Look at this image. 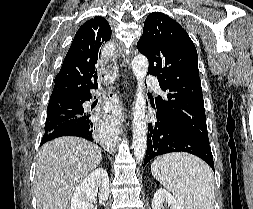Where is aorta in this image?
<instances>
[{"instance_id":"1","label":"aorta","mask_w":253,"mask_h":209,"mask_svg":"<svg viewBox=\"0 0 253 209\" xmlns=\"http://www.w3.org/2000/svg\"><path fill=\"white\" fill-rule=\"evenodd\" d=\"M132 70L137 80V92L133 109V151L137 162H142L147 149L146 101L144 78L148 71V60L143 55L134 57Z\"/></svg>"}]
</instances>
